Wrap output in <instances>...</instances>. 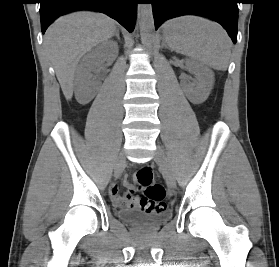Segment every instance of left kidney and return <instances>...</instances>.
Instances as JSON below:
<instances>
[{
  "instance_id": "obj_1",
  "label": "left kidney",
  "mask_w": 279,
  "mask_h": 267,
  "mask_svg": "<svg viewBox=\"0 0 279 267\" xmlns=\"http://www.w3.org/2000/svg\"><path fill=\"white\" fill-rule=\"evenodd\" d=\"M187 65L195 75V80L193 83H182L183 91L191 103L202 104L213 89L214 73L197 61L187 60Z\"/></svg>"
}]
</instances>
